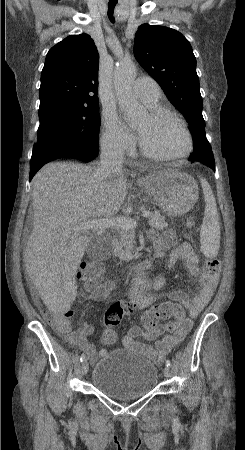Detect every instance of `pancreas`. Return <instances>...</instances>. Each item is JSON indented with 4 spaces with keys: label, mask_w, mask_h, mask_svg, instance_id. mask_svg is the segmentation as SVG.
Listing matches in <instances>:
<instances>
[{
    "label": "pancreas",
    "mask_w": 245,
    "mask_h": 450,
    "mask_svg": "<svg viewBox=\"0 0 245 450\" xmlns=\"http://www.w3.org/2000/svg\"><path fill=\"white\" fill-rule=\"evenodd\" d=\"M149 225L157 230H162L168 226L165 222V217L161 216L158 212L151 213L149 216ZM119 239L114 249V253L119 257L120 260L129 261L136 259L138 255L133 254V246L135 239L134 229L124 230L120 229L118 231Z\"/></svg>",
    "instance_id": "1"
}]
</instances>
